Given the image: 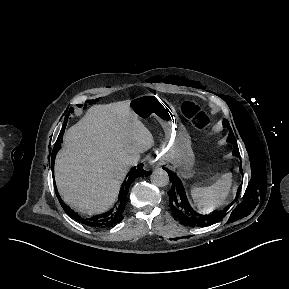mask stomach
Masks as SVG:
<instances>
[{
  "label": "stomach",
  "instance_id": "stomach-1",
  "mask_svg": "<svg viewBox=\"0 0 289 289\" xmlns=\"http://www.w3.org/2000/svg\"><path fill=\"white\" fill-rule=\"evenodd\" d=\"M132 112L139 119L154 117L165 132V159L180 171L189 174L195 165V154L188 132L174 107L156 95H143L130 101Z\"/></svg>",
  "mask_w": 289,
  "mask_h": 289
}]
</instances>
